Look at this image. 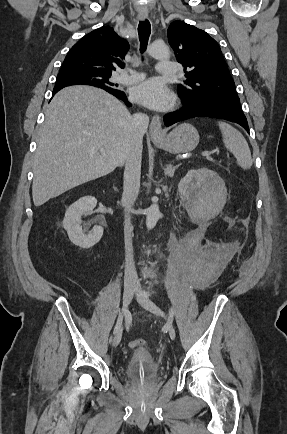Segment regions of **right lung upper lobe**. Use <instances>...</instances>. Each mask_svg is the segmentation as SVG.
Here are the masks:
<instances>
[{"label":"right lung upper lobe","mask_w":287,"mask_h":434,"mask_svg":"<svg viewBox=\"0 0 287 434\" xmlns=\"http://www.w3.org/2000/svg\"><path fill=\"white\" fill-rule=\"evenodd\" d=\"M128 49V42L119 37L113 28L102 27L81 38L71 48L61 70L76 69L112 75L117 68L124 67L123 58ZM74 84L78 83L56 84L53 91Z\"/></svg>","instance_id":"obj_1"}]
</instances>
